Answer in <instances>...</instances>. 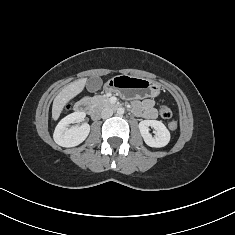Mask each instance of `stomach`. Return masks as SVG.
<instances>
[{"mask_svg":"<svg viewBox=\"0 0 235 235\" xmlns=\"http://www.w3.org/2000/svg\"><path fill=\"white\" fill-rule=\"evenodd\" d=\"M105 89L130 100L154 98L160 94L161 86L146 78L122 74L110 79Z\"/></svg>","mask_w":235,"mask_h":235,"instance_id":"0dacf381","label":"stomach"}]
</instances>
